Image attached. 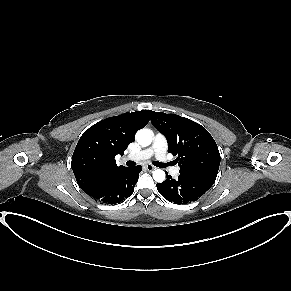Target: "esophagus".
Masks as SVG:
<instances>
[{"label":"esophagus","mask_w":291,"mask_h":291,"mask_svg":"<svg viewBox=\"0 0 291 291\" xmlns=\"http://www.w3.org/2000/svg\"><path fill=\"white\" fill-rule=\"evenodd\" d=\"M144 167H145V169L148 170V171H153V170L156 169V167H154V166L151 165V164H147V165H145Z\"/></svg>","instance_id":"34e87169"}]
</instances>
